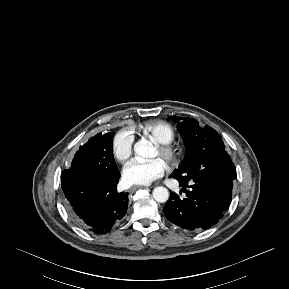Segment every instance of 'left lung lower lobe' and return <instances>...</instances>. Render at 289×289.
Returning a JSON list of instances; mask_svg holds the SVG:
<instances>
[{
	"label": "left lung lower lobe",
	"mask_w": 289,
	"mask_h": 289,
	"mask_svg": "<svg viewBox=\"0 0 289 289\" xmlns=\"http://www.w3.org/2000/svg\"><path fill=\"white\" fill-rule=\"evenodd\" d=\"M172 177H174L171 174ZM175 178V177H174ZM180 186L186 188L178 178ZM191 190L185 198L171 193L163 211L167 219L174 225L185 230L208 229L215 225L228 210L232 200V190L206 181L190 183Z\"/></svg>",
	"instance_id": "obj_1"
}]
</instances>
